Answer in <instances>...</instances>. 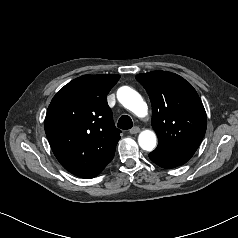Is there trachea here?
Masks as SVG:
<instances>
[{
    "mask_svg": "<svg viewBox=\"0 0 238 238\" xmlns=\"http://www.w3.org/2000/svg\"><path fill=\"white\" fill-rule=\"evenodd\" d=\"M117 126H118V128L123 129V130L130 129L133 126L132 119L128 115H123L119 119Z\"/></svg>",
    "mask_w": 238,
    "mask_h": 238,
    "instance_id": "3493384b",
    "label": "trachea"
}]
</instances>
